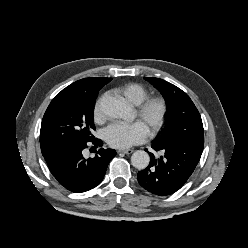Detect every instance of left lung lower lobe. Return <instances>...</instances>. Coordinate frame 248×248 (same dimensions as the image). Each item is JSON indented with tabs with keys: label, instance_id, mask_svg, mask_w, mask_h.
<instances>
[{
	"label": "left lung lower lobe",
	"instance_id": "1",
	"mask_svg": "<svg viewBox=\"0 0 248 248\" xmlns=\"http://www.w3.org/2000/svg\"><path fill=\"white\" fill-rule=\"evenodd\" d=\"M151 147L162 152L163 156L155 159L149 153L150 164L138 172L137 179L148 192L167 196L179 190L191 176L200 160L204 144L192 141H153Z\"/></svg>",
	"mask_w": 248,
	"mask_h": 248
}]
</instances>
